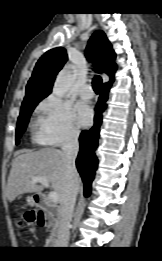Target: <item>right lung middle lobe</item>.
Instances as JSON below:
<instances>
[{"mask_svg": "<svg viewBox=\"0 0 162 261\" xmlns=\"http://www.w3.org/2000/svg\"><path fill=\"white\" fill-rule=\"evenodd\" d=\"M45 97H36L32 99H27L22 102L20 115L18 117L17 121V128H16V143H19V137L22 135V133L25 131L29 117L36 107V105Z\"/></svg>", "mask_w": 162, "mask_h": 261, "instance_id": "dd1d6c3e", "label": "right lung middle lobe"}]
</instances>
